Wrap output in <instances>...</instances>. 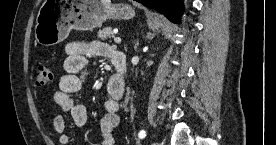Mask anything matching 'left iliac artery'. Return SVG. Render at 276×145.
<instances>
[{
	"mask_svg": "<svg viewBox=\"0 0 276 145\" xmlns=\"http://www.w3.org/2000/svg\"><path fill=\"white\" fill-rule=\"evenodd\" d=\"M138 136H139L140 139L145 138V137H146V131H145V130H141V131L139 132Z\"/></svg>",
	"mask_w": 276,
	"mask_h": 145,
	"instance_id": "44dca946",
	"label": "left iliac artery"
}]
</instances>
